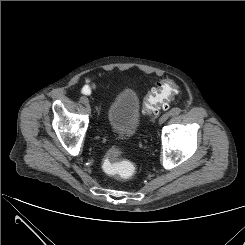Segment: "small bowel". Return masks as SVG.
I'll list each match as a JSON object with an SVG mask.
<instances>
[{
  "instance_id": "small-bowel-1",
  "label": "small bowel",
  "mask_w": 245,
  "mask_h": 245,
  "mask_svg": "<svg viewBox=\"0 0 245 245\" xmlns=\"http://www.w3.org/2000/svg\"><path fill=\"white\" fill-rule=\"evenodd\" d=\"M94 88H95V84L92 83V81L90 79H87L86 83L84 84V86L81 89V93L84 95H90Z\"/></svg>"
}]
</instances>
